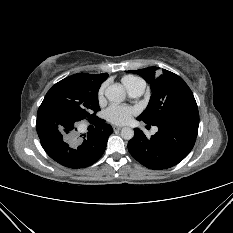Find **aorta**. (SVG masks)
<instances>
[{"label": "aorta", "instance_id": "obj_1", "mask_svg": "<svg viewBox=\"0 0 233 233\" xmlns=\"http://www.w3.org/2000/svg\"><path fill=\"white\" fill-rule=\"evenodd\" d=\"M105 96L110 102L119 103L125 99L126 93L122 85L113 84L105 90ZM121 137L125 140L132 139L134 137V130L130 127L122 128Z\"/></svg>", "mask_w": 233, "mask_h": 233}]
</instances>
